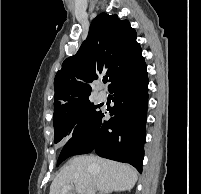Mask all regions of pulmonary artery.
<instances>
[{"mask_svg": "<svg viewBox=\"0 0 201 194\" xmlns=\"http://www.w3.org/2000/svg\"><path fill=\"white\" fill-rule=\"evenodd\" d=\"M107 99V94L105 91H101L99 94H98V101L99 102H104L105 100Z\"/></svg>", "mask_w": 201, "mask_h": 194, "instance_id": "pulmonary-artery-1", "label": "pulmonary artery"}]
</instances>
